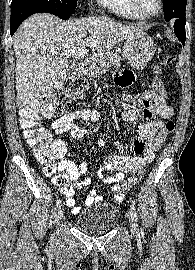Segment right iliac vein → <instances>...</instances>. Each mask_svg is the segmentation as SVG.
<instances>
[{
	"mask_svg": "<svg viewBox=\"0 0 195 270\" xmlns=\"http://www.w3.org/2000/svg\"><path fill=\"white\" fill-rule=\"evenodd\" d=\"M63 213H64V208H63V205H61L58 207V210H57V223H59V221L62 219Z\"/></svg>",
	"mask_w": 195,
	"mask_h": 270,
	"instance_id": "1",
	"label": "right iliac vein"
}]
</instances>
